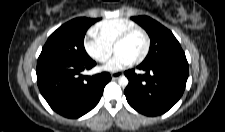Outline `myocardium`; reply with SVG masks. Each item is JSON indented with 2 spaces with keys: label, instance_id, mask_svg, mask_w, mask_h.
I'll list each match as a JSON object with an SVG mask.
<instances>
[{
  "label": "myocardium",
  "instance_id": "f54148a6",
  "mask_svg": "<svg viewBox=\"0 0 225 132\" xmlns=\"http://www.w3.org/2000/svg\"><path fill=\"white\" fill-rule=\"evenodd\" d=\"M135 33H141L143 35V37L145 38V48H144L143 53L137 59L132 61V63H134V64H139L146 59V57L148 56V54L150 52V48H151L150 36L143 28L136 26V27H132V28L124 31L114 42L113 49H114V51H116V48L119 45L124 43L129 37H131Z\"/></svg>",
  "mask_w": 225,
  "mask_h": 132
}]
</instances>
